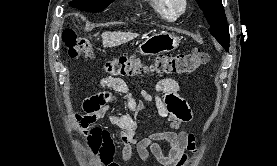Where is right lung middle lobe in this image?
I'll return each instance as SVG.
<instances>
[{"mask_svg": "<svg viewBox=\"0 0 277 166\" xmlns=\"http://www.w3.org/2000/svg\"><path fill=\"white\" fill-rule=\"evenodd\" d=\"M114 0H73L69 5L82 11L101 12Z\"/></svg>", "mask_w": 277, "mask_h": 166, "instance_id": "1", "label": "right lung middle lobe"}]
</instances>
